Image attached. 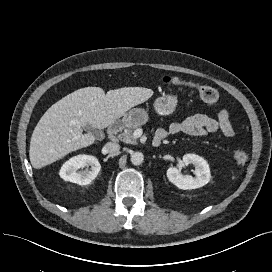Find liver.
Masks as SVG:
<instances>
[{
	"label": "liver",
	"instance_id": "liver-1",
	"mask_svg": "<svg viewBox=\"0 0 272 272\" xmlns=\"http://www.w3.org/2000/svg\"><path fill=\"white\" fill-rule=\"evenodd\" d=\"M153 93L144 87H124L105 94L100 87H85L63 97L44 113L33 131L29 150L33 168L92 145L95 136L83 134V127L104 129Z\"/></svg>",
	"mask_w": 272,
	"mask_h": 272
}]
</instances>
